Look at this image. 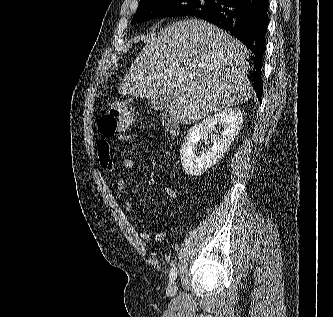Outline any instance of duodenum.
Returning a JSON list of instances; mask_svg holds the SVG:
<instances>
[{
	"mask_svg": "<svg viewBox=\"0 0 333 317\" xmlns=\"http://www.w3.org/2000/svg\"><path fill=\"white\" fill-rule=\"evenodd\" d=\"M163 124L167 131L172 134H177L179 131V125L177 120L170 114H166L163 116Z\"/></svg>",
	"mask_w": 333,
	"mask_h": 317,
	"instance_id": "410a0bca",
	"label": "duodenum"
}]
</instances>
